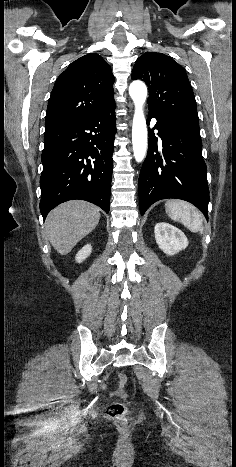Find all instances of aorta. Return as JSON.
<instances>
[{"instance_id":"762f6f07","label":"aorta","mask_w":236,"mask_h":467,"mask_svg":"<svg viewBox=\"0 0 236 467\" xmlns=\"http://www.w3.org/2000/svg\"><path fill=\"white\" fill-rule=\"evenodd\" d=\"M129 94L135 105L132 123V145L136 162L144 160L147 152V126L143 106L147 97V87L142 81H133L129 86Z\"/></svg>"}]
</instances>
